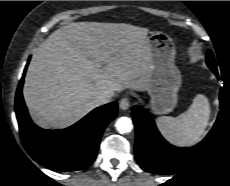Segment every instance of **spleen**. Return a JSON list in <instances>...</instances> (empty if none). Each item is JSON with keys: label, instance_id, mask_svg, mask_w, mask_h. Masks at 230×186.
<instances>
[{"label": "spleen", "instance_id": "1", "mask_svg": "<svg viewBox=\"0 0 230 186\" xmlns=\"http://www.w3.org/2000/svg\"><path fill=\"white\" fill-rule=\"evenodd\" d=\"M209 117V101L206 96L198 94L186 112L178 117H158L156 123L162 135L171 143L191 146L204 135Z\"/></svg>", "mask_w": 230, "mask_h": 186}]
</instances>
